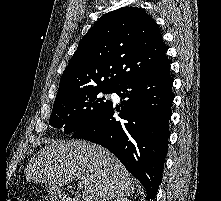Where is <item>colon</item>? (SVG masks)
Here are the masks:
<instances>
[{
  "mask_svg": "<svg viewBox=\"0 0 221 201\" xmlns=\"http://www.w3.org/2000/svg\"><path fill=\"white\" fill-rule=\"evenodd\" d=\"M11 201H20V200L17 198H13Z\"/></svg>",
  "mask_w": 221,
  "mask_h": 201,
  "instance_id": "obj_1",
  "label": "colon"
}]
</instances>
